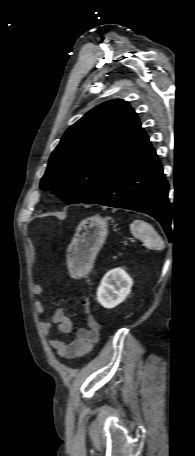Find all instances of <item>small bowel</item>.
<instances>
[{
    "label": "small bowel",
    "instance_id": "obj_1",
    "mask_svg": "<svg viewBox=\"0 0 195 456\" xmlns=\"http://www.w3.org/2000/svg\"><path fill=\"white\" fill-rule=\"evenodd\" d=\"M31 291L34 296H42L44 293L43 287L37 284L32 286ZM83 306L88 315L87 327L77 330L75 337L69 343L50 337L54 329L60 333H69L72 330V322L63 310H56L50 321L41 323L42 331L49 345L57 351L58 357L62 359L72 360L89 354L99 340L100 325L90 314V300L88 298L83 300ZM34 308L39 314L45 313L44 305L40 300H35Z\"/></svg>",
    "mask_w": 195,
    "mask_h": 456
}]
</instances>
